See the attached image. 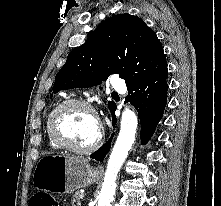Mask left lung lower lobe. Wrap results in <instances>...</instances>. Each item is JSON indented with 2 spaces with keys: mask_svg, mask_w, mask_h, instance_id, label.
I'll return each instance as SVG.
<instances>
[{
  "mask_svg": "<svg viewBox=\"0 0 221 206\" xmlns=\"http://www.w3.org/2000/svg\"><path fill=\"white\" fill-rule=\"evenodd\" d=\"M167 75L166 68L159 74L148 77L128 87L129 94L126 97V101H130L138 112L141 122L142 144L147 143L151 138L158 122L162 118L167 103ZM115 109L116 107L112 111L113 126L116 124ZM111 140L112 137L101 148L90 155V157L103 161L110 150Z\"/></svg>",
  "mask_w": 221,
  "mask_h": 206,
  "instance_id": "1",
  "label": "left lung lower lobe"
}]
</instances>
